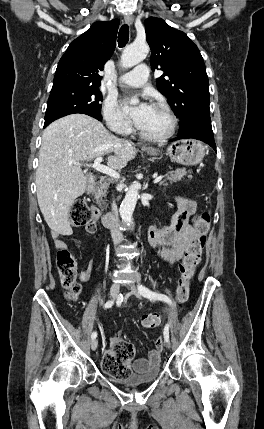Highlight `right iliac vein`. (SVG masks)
<instances>
[{
	"label": "right iliac vein",
	"mask_w": 264,
	"mask_h": 429,
	"mask_svg": "<svg viewBox=\"0 0 264 429\" xmlns=\"http://www.w3.org/2000/svg\"><path fill=\"white\" fill-rule=\"evenodd\" d=\"M119 288H120L119 283L114 282L112 284L111 289H110V296H111L112 299H115L117 297L118 292H119ZM97 347H98V340L97 339H93L91 341V349L93 351H95L97 349Z\"/></svg>",
	"instance_id": "obj_1"
}]
</instances>
